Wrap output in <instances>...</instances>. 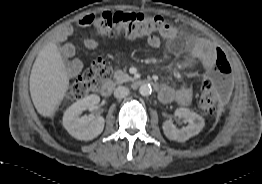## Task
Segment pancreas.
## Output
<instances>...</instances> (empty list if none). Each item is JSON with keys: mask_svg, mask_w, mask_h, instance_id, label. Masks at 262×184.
I'll return each mask as SVG.
<instances>
[{"mask_svg": "<svg viewBox=\"0 0 262 184\" xmlns=\"http://www.w3.org/2000/svg\"><path fill=\"white\" fill-rule=\"evenodd\" d=\"M114 79L116 80L117 83H124V82H128V81L134 80L127 73H125V72H123L121 70H117L114 73Z\"/></svg>", "mask_w": 262, "mask_h": 184, "instance_id": "1", "label": "pancreas"}]
</instances>
